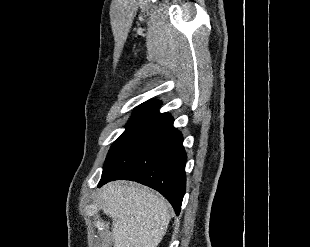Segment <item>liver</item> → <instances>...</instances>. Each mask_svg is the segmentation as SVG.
<instances>
[{
	"mask_svg": "<svg viewBox=\"0 0 310 247\" xmlns=\"http://www.w3.org/2000/svg\"><path fill=\"white\" fill-rule=\"evenodd\" d=\"M103 212L112 223L114 247H157L166 234L168 203L149 188L115 181L100 189Z\"/></svg>",
	"mask_w": 310,
	"mask_h": 247,
	"instance_id": "liver-1",
	"label": "liver"
}]
</instances>
